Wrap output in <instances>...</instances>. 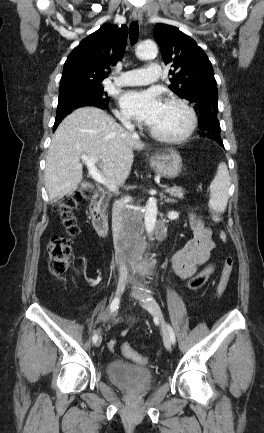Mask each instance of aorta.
I'll return each instance as SVG.
<instances>
[{
	"label": "aorta",
	"mask_w": 264,
	"mask_h": 433,
	"mask_svg": "<svg viewBox=\"0 0 264 433\" xmlns=\"http://www.w3.org/2000/svg\"><path fill=\"white\" fill-rule=\"evenodd\" d=\"M158 54L157 46L154 42H144L138 45L136 49V56L139 59H152ZM157 201L155 198H150L146 207L144 215V227L147 234L152 235L157 226Z\"/></svg>",
	"instance_id": "obj_1"
}]
</instances>
